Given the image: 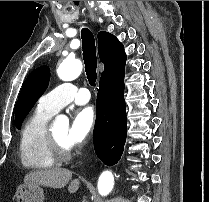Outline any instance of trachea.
<instances>
[{
	"label": "trachea",
	"mask_w": 209,
	"mask_h": 202,
	"mask_svg": "<svg viewBox=\"0 0 209 202\" xmlns=\"http://www.w3.org/2000/svg\"><path fill=\"white\" fill-rule=\"evenodd\" d=\"M81 39L87 79L89 84L95 87L97 79V56L94 35L89 29L83 28L81 30Z\"/></svg>",
	"instance_id": "trachea-1"
}]
</instances>
